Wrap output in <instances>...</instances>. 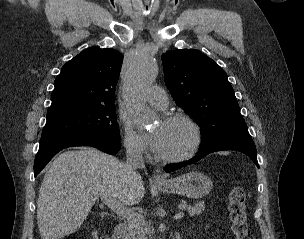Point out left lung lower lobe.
<instances>
[{
	"label": "left lung lower lobe",
	"instance_id": "1",
	"mask_svg": "<svg viewBox=\"0 0 304 239\" xmlns=\"http://www.w3.org/2000/svg\"><path fill=\"white\" fill-rule=\"evenodd\" d=\"M221 150H237L244 154H246L248 157L252 159V161L256 164V166L259 168L258 161H257V153H256V147L253 142V140H229L224 141L216 145H212L209 147L201 148L200 151L197 153V155L186 162L178 163V164H172L166 166V172H172L176 169H179L183 166H186L188 164H192L204 156H206L209 153L221 151Z\"/></svg>",
	"mask_w": 304,
	"mask_h": 239
}]
</instances>
